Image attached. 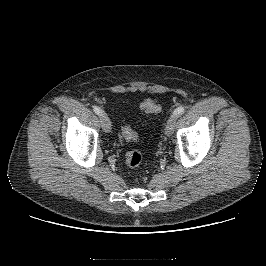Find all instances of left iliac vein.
I'll list each match as a JSON object with an SVG mask.
<instances>
[{
	"label": "left iliac vein",
	"mask_w": 266,
	"mask_h": 266,
	"mask_svg": "<svg viewBox=\"0 0 266 266\" xmlns=\"http://www.w3.org/2000/svg\"><path fill=\"white\" fill-rule=\"evenodd\" d=\"M175 119H176V116L170 118L167 121V124H166V127H165V134L167 136H171L173 134V131H174V121H175Z\"/></svg>",
	"instance_id": "4c4485c4"
}]
</instances>
